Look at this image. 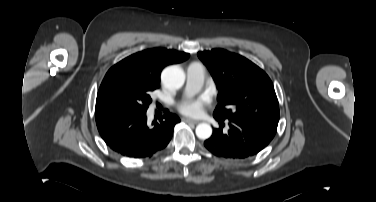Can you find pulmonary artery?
<instances>
[{"label":"pulmonary artery","instance_id":"e3ab8cb5","mask_svg":"<svg viewBox=\"0 0 376 202\" xmlns=\"http://www.w3.org/2000/svg\"><path fill=\"white\" fill-rule=\"evenodd\" d=\"M205 75L206 70L201 63H191L187 68V93H194L198 91L203 85Z\"/></svg>","mask_w":376,"mask_h":202}]
</instances>
